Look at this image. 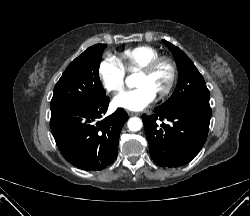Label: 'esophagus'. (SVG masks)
<instances>
[{
  "mask_svg": "<svg viewBox=\"0 0 250 216\" xmlns=\"http://www.w3.org/2000/svg\"><path fill=\"white\" fill-rule=\"evenodd\" d=\"M128 114H129L130 116H132V115H134L135 113H134V112H131V111H128Z\"/></svg>",
  "mask_w": 250,
  "mask_h": 216,
  "instance_id": "1",
  "label": "esophagus"
}]
</instances>
